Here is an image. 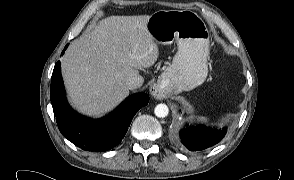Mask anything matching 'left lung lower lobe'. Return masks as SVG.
<instances>
[{
  "instance_id": "left-lung-lower-lobe-1",
  "label": "left lung lower lobe",
  "mask_w": 294,
  "mask_h": 180,
  "mask_svg": "<svg viewBox=\"0 0 294 180\" xmlns=\"http://www.w3.org/2000/svg\"><path fill=\"white\" fill-rule=\"evenodd\" d=\"M226 131L225 128L222 130L205 127L186 128L180 132V141L188 150L200 151L220 142Z\"/></svg>"
}]
</instances>
